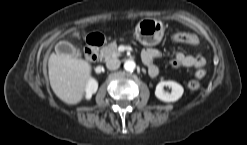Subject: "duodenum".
I'll list each match as a JSON object with an SVG mask.
<instances>
[{"instance_id":"duodenum-1","label":"duodenum","mask_w":247,"mask_h":145,"mask_svg":"<svg viewBox=\"0 0 247 145\" xmlns=\"http://www.w3.org/2000/svg\"><path fill=\"white\" fill-rule=\"evenodd\" d=\"M105 39L102 35L95 34L91 35L87 39V46L85 48V56L91 61L95 62L99 56V48L104 44ZM155 68L151 67L150 70L153 71Z\"/></svg>"}]
</instances>
